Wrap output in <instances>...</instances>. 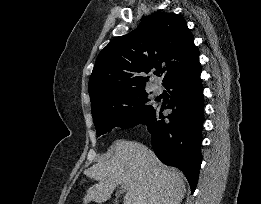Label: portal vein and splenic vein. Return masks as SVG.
<instances>
[{
    "instance_id": "obj_1",
    "label": "portal vein and splenic vein",
    "mask_w": 261,
    "mask_h": 204,
    "mask_svg": "<svg viewBox=\"0 0 261 204\" xmlns=\"http://www.w3.org/2000/svg\"><path fill=\"white\" fill-rule=\"evenodd\" d=\"M127 189H128V186L127 185H125V184H122L121 185V191H127Z\"/></svg>"
}]
</instances>
